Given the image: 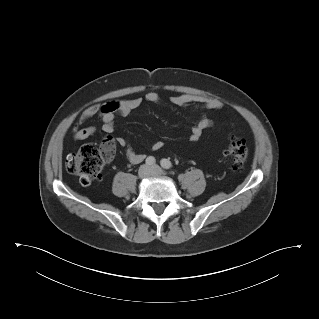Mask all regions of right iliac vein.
<instances>
[{
	"mask_svg": "<svg viewBox=\"0 0 319 319\" xmlns=\"http://www.w3.org/2000/svg\"><path fill=\"white\" fill-rule=\"evenodd\" d=\"M151 174V168L147 165H143L138 170V177L140 179L147 178Z\"/></svg>",
	"mask_w": 319,
	"mask_h": 319,
	"instance_id": "obj_1",
	"label": "right iliac vein"
}]
</instances>
